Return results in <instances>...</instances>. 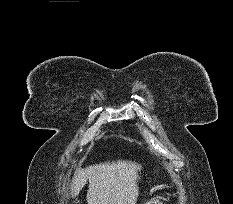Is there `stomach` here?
Segmentation results:
<instances>
[{
  "instance_id": "stomach-1",
  "label": "stomach",
  "mask_w": 233,
  "mask_h": 204,
  "mask_svg": "<svg viewBox=\"0 0 233 204\" xmlns=\"http://www.w3.org/2000/svg\"><path fill=\"white\" fill-rule=\"evenodd\" d=\"M162 199L163 198L159 196L152 197L149 200H147L144 204H163Z\"/></svg>"
}]
</instances>
